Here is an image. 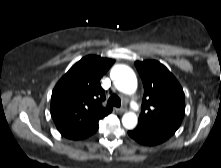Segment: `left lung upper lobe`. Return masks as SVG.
I'll use <instances>...</instances> for the list:
<instances>
[{"label": "left lung upper lobe", "instance_id": "1", "mask_svg": "<svg viewBox=\"0 0 221 168\" xmlns=\"http://www.w3.org/2000/svg\"><path fill=\"white\" fill-rule=\"evenodd\" d=\"M144 85L137 127L171 137L185 114V95L174 75L155 60L136 61Z\"/></svg>", "mask_w": 221, "mask_h": 168}]
</instances>
